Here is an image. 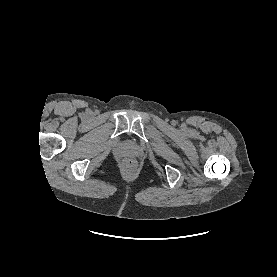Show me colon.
Here are the masks:
<instances>
[{
	"label": "colon",
	"mask_w": 277,
	"mask_h": 277,
	"mask_svg": "<svg viewBox=\"0 0 277 277\" xmlns=\"http://www.w3.org/2000/svg\"><path fill=\"white\" fill-rule=\"evenodd\" d=\"M124 165H125L127 168L132 169V168H134L135 163H134V161H132L131 159H127V160H125Z\"/></svg>",
	"instance_id": "colon-1"
}]
</instances>
